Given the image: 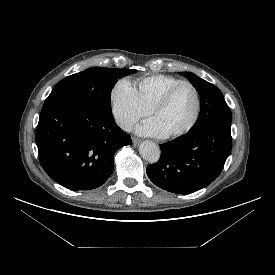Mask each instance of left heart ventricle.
Here are the masks:
<instances>
[{"label":"left heart ventricle","instance_id":"b2bd125f","mask_svg":"<svg viewBox=\"0 0 275 275\" xmlns=\"http://www.w3.org/2000/svg\"><path fill=\"white\" fill-rule=\"evenodd\" d=\"M195 109L194 91L188 86H183L175 92L168 105L156 112L153 118L165 134H169L184 128L194 116Z\"/></svg>","mask_w":275,"mask_h":275}]
</instances>
